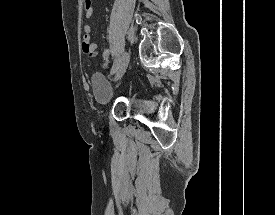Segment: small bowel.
<instances>
[{
  "instance_id": "1",
  "label": "small bowel",
  "mask_w": 275,
  "mask_h": 215,
  "mask_svg": "<svg viewBox=\"0 0 275 215\" xmlns=\"http://www.w3.org/2000/svg\"><path fill=\"white\" fill-rule=\"evenodd\" d=\"M84 11H85V18L90 19L94 11V4L91 3L90 0H85L84 3ZM91 27L88 23L84 26V35H83V51L85 54L89 55L90 57H94L98 54V45L91 41ZM110 55V50L108 48H104L102 51L103 61H106Z\"/></svg>"
}]
</instances>
